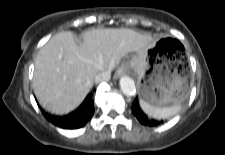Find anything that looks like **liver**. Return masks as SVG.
<instances>
[{"instance_id":"obj_1","label":"liver","mask_w":225,"mask_h":155,"mask_svg":"<svg viewBox=\"0 0 225 155\" xmlns=\"http://www.w3.org/2000/svg\"><path fill=\"white\" fill-rule=\"evenodd\" d=\"M155 44L150 34L128 28L88 30L77 45L71 32L53 36L38 52L33 89L43 108L63 115L83 103L95 76L111 71L128 53L145 56Z\"/></svg>"}]
</instances>
